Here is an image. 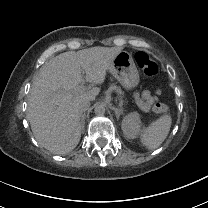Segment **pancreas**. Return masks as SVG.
I'll list each match as a JSON object with an SVG mask.
<instances>
[{
    "mask_svg": "<svg viewBox=\"0 0 208 208\" xmlns=\"http://www.w3.org/2000/svg\"><path fill=\"white\" fill-rule=\"evenodd\" d=\"M108 91L109 92L115 91L118 95V99L121 100L122 103L124 102V100L122 99V96L124 95V92L122 91V89L119 86L113 84L108 88Z\"/></svg>",
    "mask_w": 208,
    "mask_h": 208,
    "instance_id": "obj_1",
    "label": "pancreas"
}]
</instances>
